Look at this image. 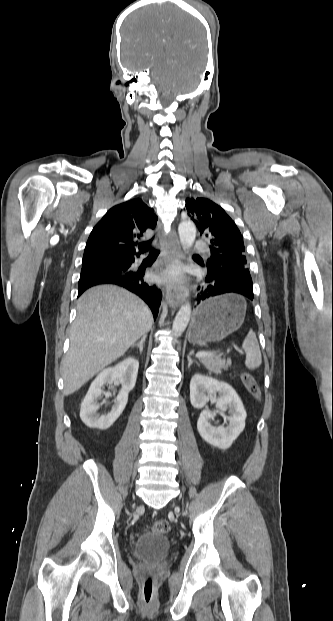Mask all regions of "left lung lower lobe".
I'll return each instance as SVG.
<instances>
[{
	"mask_svg": "<svg viewBox=\"0 0 333 621\" xmlns=\"http://www.w3.org/2000/svg\"><path fill=\"white\" fill-rule=\"evenodd\" d=\"M252 287V279L249 273L245 271H228L218 266L211 270L207 269V275L198 288L199 292L196 302L199 304L210 297L231 292L244 295L253 300Z\"/></svg>",
	"mask_w": 333,
	"mask_h": 621,
	"instance_id": "obj_1",
	"label": "left lung lower lobe"
}]
</instances>
